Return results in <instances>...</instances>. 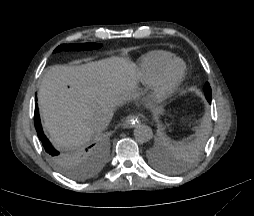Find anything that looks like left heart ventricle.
I'll return each mask as SVG.
<instances>
[{
	"label": "left heart ventricle",
	"mask_w": 254,
	"mask_h": 216,
	"mask_svg": "<svg viewBox=\"0 0 254 216\" xmlns=\"http://www.w3.org/2000/svg\"><path fill=\"white\" fill-rule=\"evenodd\" d=\"M177 70V66H174L172 69H171V73H175Z\"/></svg>",
	"instance_id": "obj_1"
}]
</instances>
